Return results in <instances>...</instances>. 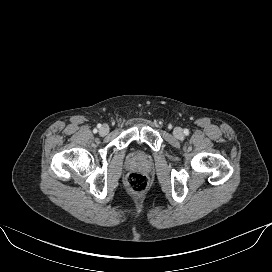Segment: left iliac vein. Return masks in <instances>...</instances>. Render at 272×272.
<instances>
[{
	"mask_svg": "<svg viewBox=\"0 0 272 272\" xmlns=\"http://www.w3.org/2000/svg\"><path fill=\"white\" fill-rule=\"evenodd\" d=\"M173 134L176 138H182L183 137V131L181 128L176 127L173 131Z\"/></svg>",
	"mask_w": 272,
	"mask_h": 272,
	"instance_id": "1",
	"label": "left iliac vein"
}]
</instances>
